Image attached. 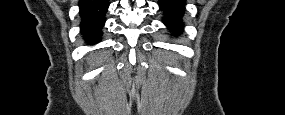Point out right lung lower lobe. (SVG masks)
<instances>
[{
	"label": "right lung lower lobe",
	"mask_w": 285,
	"mask_h": 115,
	"mask_svg": "<svg viewBox=\"0 0 285 115\" xmlns=\"http://www.w3.org/2000/svg\"><path fill=\"white\" fill-rule=\"evenodd\" d=\"M78 5L80 7L81 34L88 44H96L101 40L102 27L105 23V14L109 7V1L80 0Z\"/></svg>",
	"instance_id": "98d812e1"
}]
</instances>
